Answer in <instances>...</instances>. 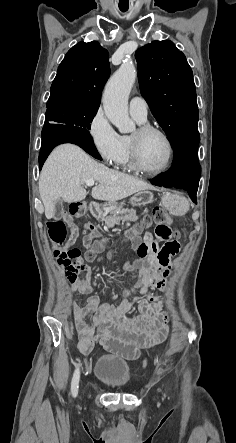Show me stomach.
Instances as JSON below:
<instances>
[{"mask_svg": "<svg viewBox=\"0 0 236 443\" xmlns=\"http://www.w3.org/2000/svg\"><path fill=\"white\" fill-rule=\"evenodd\" d=\"M153 201V194L148 190H143L136 193L131 199L130 203L132 206H145ZM164 207L174 215L184 214L188 207V201L181 195L167 193L162 198ZM116 210L120 209V206L115 203L113 205Z\"/></svg>", "mask_w": 236, "mask_h": 443, "instance_id": "0dacf381", "label": "stomach"}]
</instances>
